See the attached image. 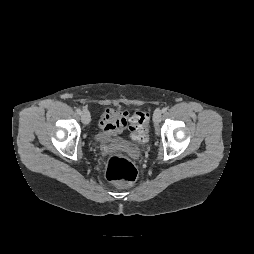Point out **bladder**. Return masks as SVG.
I'll list each match as a JSON object with an SVG mask.
<instances>
[{
	"mask_svg": "<svg viewBox=\"0 0 254 254\" xmlns=\"http://www.w3.org/2000/svg\"><path fill=\"white\" fill-rule=\"evenodd\" d=\"M105 138H106V137L103 136V135H98V136H97V140H98V141H103V140H105Z\"/></svg>",
	"mask_w": 254,
	"mask_h": 254,
	"instance_id": "obj_1",
	"label": "bladder"
}]
</instances>
